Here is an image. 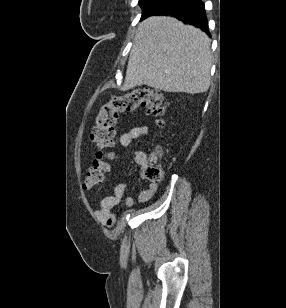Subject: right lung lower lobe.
<instances>
[{
    "label": "right lung lower lobe",
    "instance_id": "right-lung-lower-lobe-1",
    "mask_svg": "<svg viewBox=\"0 0 286 308\" xmlns=\"http://www.w3.org/2000/svg\"><path fill=\"white\" fill-rule=\"evenodd\" d=\"M162 14L172 15L185 23L202 28L209 34L204 4L201 0H171L162 8L146 15L142 19Z\"/></svg>",
    "mask_w": 286,
    "mask_h": 308
}]
</instances>
